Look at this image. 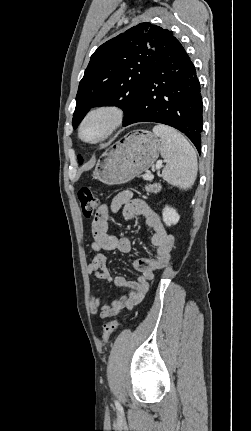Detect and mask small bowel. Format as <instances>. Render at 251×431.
Here are the masks:
<instances>
[{
    "label": "small bowel",
    "instance_id": "c3829d8e",
    "mask_svg": "<svg viewBox=\"0 0 251 431\" xmlns=\"http://www.w3.org/2000/svg\"><path fill=\"white\" fill-rule=\"evenodd\" d=\"M120 210L126 219L142 217L153 231L150 241L155 248V257L142 258L133 262L134 268L140 272L135 281H129L123 276L113 277L106 267V259L103 254V251L118 250L122 253H129L131 250L128 238L108 232V220L111 213H117ZM91 230L93 255L87 267L88 274L100 280L112 282L116 287L127 289L125 294L117 297L110 304H103L99 296L92 295L91 312L99 315L101 319H106L122 311L131 310L142 300L155 272L170 262L175 239L164 227L159 214L142 199L134 198L129 191L118 193L109 206L104 204L99 207L92 221Z\"/></svg>",
    "mask_w": 251,
    "mask_h": 431
}]
</instances>
